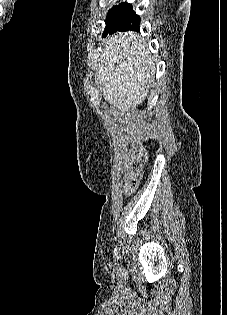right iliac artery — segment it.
<instances>
[{"label": "right iliac artery", "mask_w": 227, "mask_h": 315, "mask_svg": "<svg viewBox=\"0 0 227 315\" xmlns=\"http://www.w3.org/2000/svg\"><path fill=\"white\" fill-rule=\"evenodd\" d=\"M114 255H115V258H117V259L120 258L119 248L115 247V249H114Z\"/></svg>", "instance_id": "1"}]
</instances>
